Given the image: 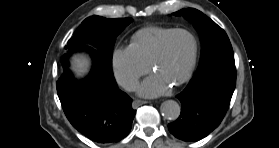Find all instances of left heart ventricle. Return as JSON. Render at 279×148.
Segmentation results:
<instances>
[{"mask_svg": "<svg viewBox=\"0 0 279 148\" xmlns=\"http://www.w3.org/2000/svg\"><path fill=\"white\" fill-rule=\"evenodd\" d=\"M193 50L192 38L186 33L174 35L167 44L166 54L154 68V74L174 83L186 70Z\"/></svg>", "mask_w": 279, "mask_h": 148, "instance_id": "left-heart-ventricle-1", "label": "left heart ventricle"}]
</instances>
